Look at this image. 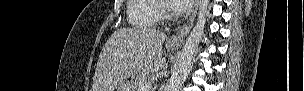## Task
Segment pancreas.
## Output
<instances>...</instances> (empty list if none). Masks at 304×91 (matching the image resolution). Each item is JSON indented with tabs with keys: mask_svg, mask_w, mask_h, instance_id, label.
I'll return each instance as SVG.
<instances>
[{
	"mask_svg": "<svg viewBox=\"0 0 304 91\" xmlns=\"http://www.w3.org/2000/svg\"><path fill=\"white\" fill-rule=\"evenodd\" d=\"M152 80V74L151 73H141L136 75L134 78V86L137 91L142 90V86L144 83H150Z\"/></svg>",
	"mask_w": 304,
	"mask_h": 91,
	"instance_id": "pancreas-1",
	"label": "pancreas"
}]
</instances>
